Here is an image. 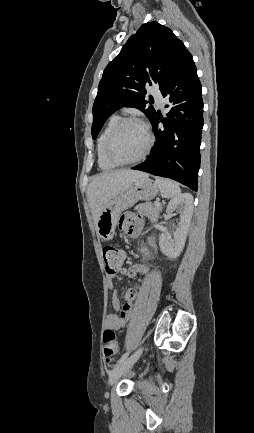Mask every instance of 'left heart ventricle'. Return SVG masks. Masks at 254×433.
<instances>
[{
	"instance_id": "obj_1",
	"label": "left heart ventricle",
	"mask_w": 254,
	"mask_h": 433,
	"mask_svg": "<svg viewBox=\"0 0 254 433\" xmlns=\"http://www.w3.org/2000/svg\"><path fill=\"white\" fill-rule=\"evenodd\" d=\"M147 144L144 129L135 123L123 126L116 134L112 146V155L121 161H128L138 157Z\"/></svg>"
}]
</instances>
